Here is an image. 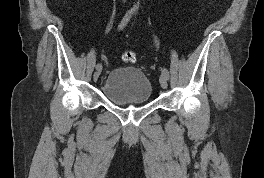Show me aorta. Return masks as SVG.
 Wrapping results in <instances>:
<instances>
[{"instance_id": "obj_1", "label": "aorta", "mask_w": 264, "mask_h": 178, "mask_svg": "<svg viewBox=\"0 0 264 178\" xmlns=\"http://www.w3.org/2000/svg\"><path fill=\"white\" fill-rule=\"evenodd\" d=\"M138 7H139V0H138L137 4L134 5L133 9L136 10V9H138Z\"/></svg>"}]
</instances>
